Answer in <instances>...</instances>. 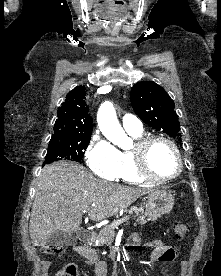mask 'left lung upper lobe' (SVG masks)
Masks as SVG:
<instances>
[{
    "instance_id": "5c2ea615",
    "label": "left lung upper lobe",
    "mask_w": 221,
    "mask_h": 276,
    "mask_svg": "<svg viewBox=\"0 0 221 276\" xmlns=\"http://www.w3.org/2000/svg\"><path fill=\"white\" fill-rule=\"evenodd\" d=\"M130 100L141 120L181 141L175 104L161 86L153 81L139 82L132 87Z\"/></svg>"
}]
</instances>
